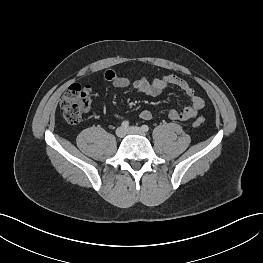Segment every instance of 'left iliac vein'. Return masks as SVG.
I'll use <instances>...</instances> for the list:
<instances>
[{
	"label": "left iliac vein",
	"instance_id": "4c4485c4",
	"mask_svg": "<svg viewBox=\"0 0 263 263\" xmlns=\"http://www.w3.org/2000/svg\"><path fill=\"white\" fill-rule=\"evenodd\" d=\"M127 132L130 134H137V135H141V136H145V132L136 126H131L127 129Z\"/></svg>",
	"mask_w": 263,
	"mask_h": 263
}]
</instances>
